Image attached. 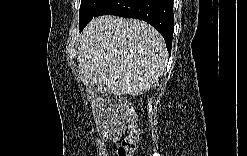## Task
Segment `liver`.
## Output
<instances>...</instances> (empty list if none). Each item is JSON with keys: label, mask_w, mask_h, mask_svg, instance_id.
I'll use <instances>...</instances> for the list:
<instances>
[{"label": "liver", "mask_w": 247, "mask_h": 156, "mask_svg": "<svg viewBox=\"0 0 247 156\" xmlns=\"http://www.w3.org/2000/svg\"><path fill=\"white\" fill-rule=\"evenodd\" d=\"M167 56L163 37L151 25L109 15L82 31L77 60L86 85L135 97L163 75Z\"/></svg>", "instance_id": "liver-1"}]
</instances>
